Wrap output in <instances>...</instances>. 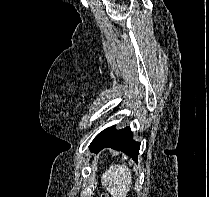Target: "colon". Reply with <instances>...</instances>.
I'll use <instances>...</instances> for the list:
<instances>
[{"mask_svg":"<svg viewBox=\"0 0 209 197\" xmlns=\"http://www.w3.org/2000/svg\"><path fill=\"white\" fill-rule=\"evenodd\" d=\"M101 197H109L108 195H106V194H103V195H101Z\"/></svg>","mask_w":209,"mask_h":197,"instance_id":"obj_1","label":"colon"}]
</instances>
